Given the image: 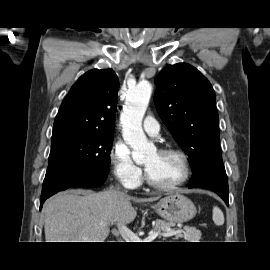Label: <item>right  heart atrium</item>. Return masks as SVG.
Returning <instances> with one entry per match:
<instances>
[{
    "instance_id": "right-heart-atrium-1",
    "label": "right heart atrium",
    "mask_w": 270,
    "mask_h": 270,
    "mask_svg": "<svg viewBox=\"0 0 270 270\" xmlns=\"http://www.w3.org/2000/svg\"><path fill=\"white\" fill-rule=\"evenodd\" d=\"M109 158L114 176L126 187L134 188L140 184L142 170L133 161L129 149L123 142L117 141L113 144Z\"/></svg>"
}]
</instances>
